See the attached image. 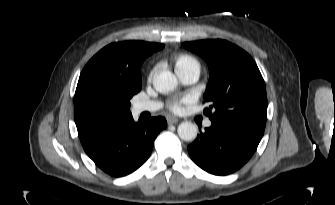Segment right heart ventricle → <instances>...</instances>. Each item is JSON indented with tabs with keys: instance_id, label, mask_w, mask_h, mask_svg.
I'll return each mask as SVG.
<instances>
[{
	"instance_id": "right-heart-ventricle-1",
	"label": "right heart ventricle",
	"mask_w": 335,
	"mask_h": 205,
	"mask_svg": "<svg viewBox=\"0 0 335 205\" xmlns=\"http://www.w3.org/2000/svg\"><path fill=\"white\" fill-rule=\"evenodd\" d=\"M192 67H196L200 69V64L198 60L191 55L182 54L178 56L175 60L176 71H180V70H184V69L192 68Z\"/></svg>"
}]
</instances>
